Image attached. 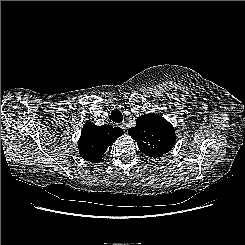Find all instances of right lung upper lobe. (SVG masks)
<instances>
[{"label": "right lung upper lobe", "mask_w": 245, "mask_h": 245, "mask_svg": "<svg viewBox=\"0 0 245 245\" xmlns=\"http://www.w3.org/2000/svg\"><path fill=\"white\" fill-rule=\"evenodd\" d=\"M124 132L110 125L97 126L87 122L81 131L79 138V153L82 158L92 163L101 162L107 149Z\"/></svg>", "instance_id": "right-lung-upper-lobe-1"}]
</instances>
